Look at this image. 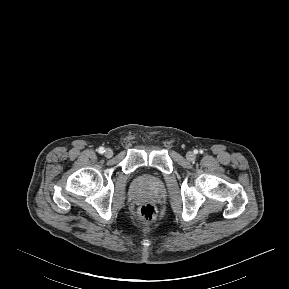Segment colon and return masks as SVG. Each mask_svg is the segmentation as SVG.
Masks as SVG:
<instances>
[{"label": "colon", "mask_w": 289, "mask_h": 289, "mask_svg": "<svg viewBox=\"0 0 289 289\" xmlns=\"http://www.w3.org/2000/svg\"><path fill=\"white\" fill-rule=\"evenodd\" d=\"M138 214L143 222H151L156 218V209L151 204H145L140 207Z\"/></svg>", "instance_id": "colon-1"}]
</instances>
